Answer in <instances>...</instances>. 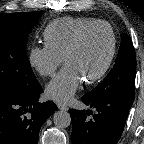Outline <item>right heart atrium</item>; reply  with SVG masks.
Here are the masks:
<instances>
[{
  "mask_svg": "<svg viewBox=\"0 0 144 144\" xmlns=\"http://www.w3.org/2000/svg\"><path fill=\"white\" fill-rule=\"evenodd\" d=\"M28 62L41 76L50 77L62 64L63 57L55 53L46 45H34L29 49Z\"/></svg>",
  "mask_w": 144,
  "mask_h": 144,
  "instance_id": "obj_1",
  "label": "right heart atrium"
}]
</instances>
